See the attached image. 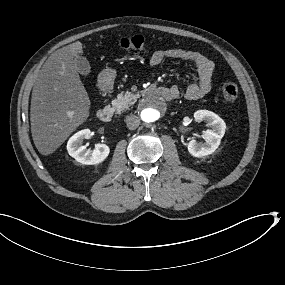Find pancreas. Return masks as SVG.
Here are the masks:
<instances>
[{
  "label": "pancreas",
  "mask_w": 285,
  "mask_h": 285,
  "mask_svg": "<svg viewBox=\"0 0 285 285\" xmlns=\"http://www.w3.org/2000/svg\"><path fill=\"white\" fill-rule=\"evenodd\" d=\"M138 100L137 94H132L131 92L121 93L118 97L112 100V105L115 108L116 114H121L123 111L128 109L132 104Z\"/></svg>",
  "instance_id": "obj_1"
}]
</instances>
